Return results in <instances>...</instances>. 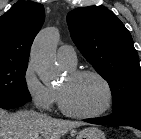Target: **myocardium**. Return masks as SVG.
<instances>
[{
    "instance_id": "1",
    "label": "myocardium",
    "mask_w": 141,
    "mask_h": 139,
    "mask_svg": "<svg viewBox=\"0 0 141 139\" xmlns=\"http://www.w3.org/2000/svg\"><path fill=\"white\" fill-rule=\"evenodd\" d=\"M68 76L71 80H76L85 76H93L97 78L105 87L107 98H106V103L101 110L94 113H81L69 107L64 92L58 88L57 94H58L59 107L64 114L79 119H96L107 114V112L111 109L113 105L114 94L110 82L107 80V78L104 75L92 69H79V70H71L68 73Z\"/></svg>"
}]
</instances>
